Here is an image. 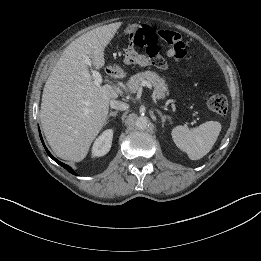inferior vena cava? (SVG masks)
<instances>
[{"mask_svg": "<svg viewBox=\"0 0 261 261\" xmlns=\"http://www.w3.org/2000/svg\"><path fill=\"white\" fill-rule=\"evenodd\" d=\"M110 107L117 110H126L129 108L128 104L116 100L110 101Z\"/></svg>", "mask_w": 261, "mask_h": 261, "instance_id": "602c4592", "label": "inferior vena cava"}]
</instances>
